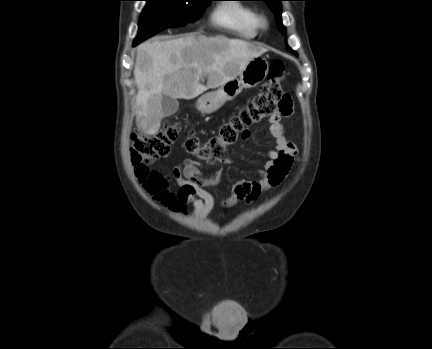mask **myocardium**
<instances>
[{"mask_svg":"<svg viewBox=\"0 0 432 349\" xmlns=\"http://www.w3.org/2000/svg\"><path fill=\"white\" fill-rule=\"evenodd\" d=\"M258 25L260 28H266L268 26V19L264 15H259Z\"/></svg>","mask_w":432,"mask_h":349,"instance_id":"f54148a6","label":"myocardium"}]
</instances>
